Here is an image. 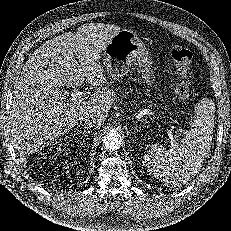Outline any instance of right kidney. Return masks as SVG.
I'll list each match as a JSON object with an SVG mask.
<instances>
[{"instance_id": "right-kidney-1", "label": "right kidney", "mask_w": 231, "mask_h": 231, "mask_svg": "<svg viewBox=\"0 0 231 231\" xmlns=\"http://www.w3.org/2000/svg\"><path fill=\"white\" fill-rule=\"evenodd\" d=\"M59 151H60V152H64L65 154H67V151H68V150H67L66 148H61V147H60V148H59Z\"/></svg>"}]
</instances>
